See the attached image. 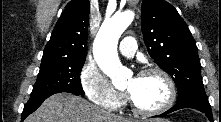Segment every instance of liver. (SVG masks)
Masks as SVG:
<instances>
[{
    "instance_id": "obj_1",
    "label": "liver",
    "mask_w": 221,
    "mask_h": 122,
    "mask_svg": "<svg viewBox=\"0 0 221 122\" xmlns=\"http://www.w3.org/2000/svg\"><path fill=\"white\" fill-rule=\"evenodd\" d=\"M25 122H134L111 114L87 100L57 93L47 98Z\"/></svg>"
}]
</instances>
